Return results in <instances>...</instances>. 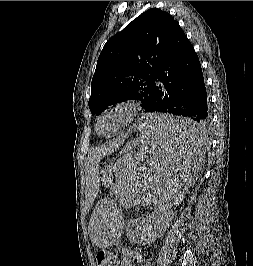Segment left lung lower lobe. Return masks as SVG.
Listing matches in <instances>:
<instances>
[{
  "label": "left lung lower lobe",
  "mask_w": 253,
  "mask_h": 266,
  "mask_svg": "<svg viewBox=\"0 0 253 266\" xmlns=\"http://www.w3.org/2000/svg\"><path fill=\"white\" fill-rule=\"evenodd\" d=\"M157 80L161 84L156 83ZM147 112L170 113L185 118L178 124H160L152 129L173 140L184 142L204 137L210 126L200 61L178 23L157 63L153 99Z\"/></svg>",
  "instance_id": "left-lung-lower-lobe-1"
}]
</instances>
